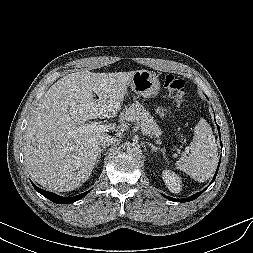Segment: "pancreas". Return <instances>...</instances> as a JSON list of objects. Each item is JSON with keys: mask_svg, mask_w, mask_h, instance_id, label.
Returning <instances> with one entry per match:
<instances>
[{"mask_svg": "<svg viewBox=\"0 0 253 253\" xmlns=\"http://www.w3.org/2000/svg\"><path fill=\"white\" fill-rule=\"evenodd\" d=\"M120 120L123 123L126 121H140L145 132L151 137H159L162 134L161 129L156 124L153 116H151L139 102L125 106L120 114Z\"/></svg>", "mask_w": 253, "mask_h": 253, "instance_id": "1", "label": "pancreas"}]
</instances>
